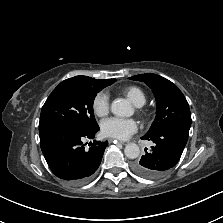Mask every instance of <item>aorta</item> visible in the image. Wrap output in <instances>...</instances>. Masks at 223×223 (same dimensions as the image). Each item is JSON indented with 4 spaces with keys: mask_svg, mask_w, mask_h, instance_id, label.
<instances>
[{
    "mask_svg": "<svg viewBox=\"0 0 223 223\" xmlns=\"http://www.w3.org/2000/svg\"><path fill=\"white\" fill-rule=\"evenodd\" d=\"M111 112L118 117H130L133 115V108L126 100L117 99L111 104ZM124 153L127 158L136 159L140 154V148L135 143H129L125 146Z\"/></svg>",
    "mask_w": 223,
    "mask_h": 223,
    "instance_id": "aorta-1",
    "label": "aorta"
}]
</instances>
